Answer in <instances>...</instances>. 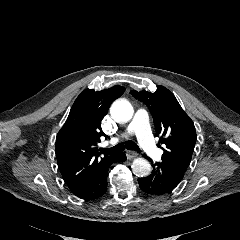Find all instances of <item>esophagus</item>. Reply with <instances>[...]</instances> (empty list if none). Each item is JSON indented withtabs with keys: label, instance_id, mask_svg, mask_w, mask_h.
Here are the masks:
<instances>
[{
	"label": "esophagus",
	"instance_id": "1",
	"mask_svg": "<svg viewBox=\"0 0 240 240\" xmlns=\"http://www.w3.org/2000/svg\"><path fill=\"white\" fill-rule=\"evenodd\" d=\"M137 152H135V151H133V150H127L126 151V157H127V159H133V158H135V157H137Z\"/></svg>",
	"mask_w": 240,
	"mask_h": 240
}]
</instances>
